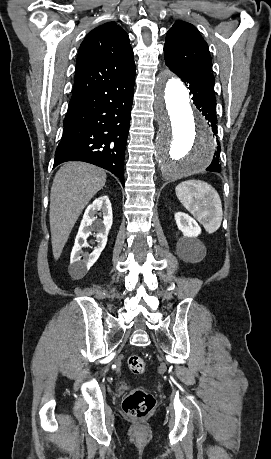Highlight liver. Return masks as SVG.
<instances>
[{
  "label": "liver",
  "instance_id": "obj_1",
  "mask_svg": "<svg viewBox=\"0 0 271 459\" xmlns=\"http://www.w3.org/2000/svg\"><path fill=\"white\" fill-rule=\"evenodd\" d=\"M105 182L104 170L85 162H66L58 170L51 188L49 214L54 259L60 257L82 210Z\"/></svg>",
  "mask_w": 271,
  "mask_h": 459
}]
</instances>
